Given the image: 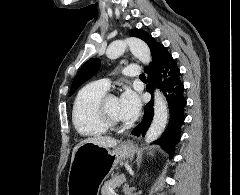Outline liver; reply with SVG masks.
Wrapping results in <instances>:
<instances>
[{"label": "liver", "mask_w": 240, "mask_h": 195, "mask_svg": "<svg viewBox=\"0 0 240 195\" xmlns=\"http://www.w3.org/2000/svg\"><path fill=\"white\" fill-rule=\"evenodd\" d=\"M82 143H97V145H102V147H115L118 143V139H114V137H110V135H95V137H86V139H83V141H80V143H77V145L73 147L71 161L74 159L76 149H78Z\"/></svg>", "instance_id": "obj_1"}]
</instances>
